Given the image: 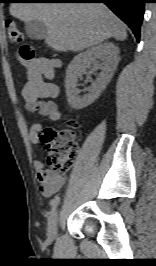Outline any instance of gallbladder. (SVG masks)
<instances>
[{
    "label": "gallbladder",
    "instance_id": "gallbladder-1",
    "mask_svg": "<svg viewBox=\"0 0 156 266\" xmlns=\"http://www.w3.org/2000/svg\"><path fill=\"white\" fill-rule=\"evenodd\" d=\"M27 35L33 40H42L47 35V28L42 21L33 20L25 23Z\"/></svg>",
    "mask_w": 156,
    "mask_h": 266
}]
</instances>
